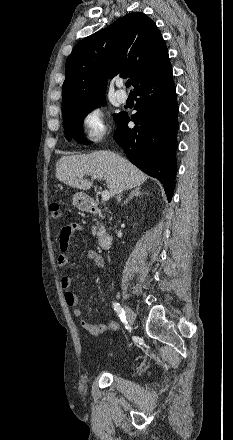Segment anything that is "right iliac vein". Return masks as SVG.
Listing matches in <instances>:
<instances>
[{
    "label": "right iliac vein",
    "instance_id": "1",
    "mask_svg": "<svg viewBox=\"0 0 233 440\" xmlns=\"http://www.w3.org/2000/svg\"><path fill=\"white\" fill-rule=\"evenodd\" d=\"M124 310H125V315H126V319L127 322L129 324V326H132L135 322V313L134 311L126 304H124Z\"/></svg>",
    "mask_w": 233,
    "mask_h": 440
}]
</instances>
